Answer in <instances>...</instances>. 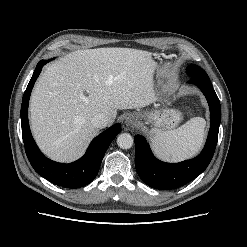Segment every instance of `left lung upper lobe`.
Wrapping results in <instances>:
<instances>
[{"instance_id": "1", "label": "left lung upper lobe", "mask_w": 247, "mask_h": 247, "mask_svg": "<svg viewBox=\"0 0 247 247\" xmlns=\"http://www.w3.org/2000/svg\"><path fill=\"white\" fill-rule=\"evenodd\" d=\"M190 78H200L206 81H210L207 73L197 65L191 64L187 67Z\"/></svg>"}]
</instances>
